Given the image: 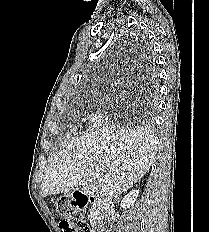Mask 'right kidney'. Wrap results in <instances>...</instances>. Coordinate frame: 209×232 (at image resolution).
<instances>
[{
  "mask_svg": "<svg viewBox=\"0 0 209 232\" xmlns=\"http://www.w3.org/2000/svg\"><path fill=\"white\" fill-rule=\"evenodd\" d=\"M139 195V190L130 191L121 201V207L123 209H129L132 206Z\"/></svg>",
  "mask_w": 209,
  "mask_h": 232,
  "instance_id": "ca27d5eb",
  "label": "right kidney"
}]
</instances>
